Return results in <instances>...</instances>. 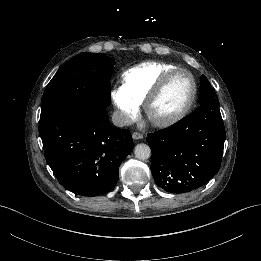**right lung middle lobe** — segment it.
<instances>
[{
    "label": "right lung middle lobe",
    "instance_id": "right-lung-middle-lobe-1",
    "mask_svg": "<svg viewBox=\"0 0 261 261\" xmlns=\"http://www.w3.org/2000/svg\"><path fill=\"white\" fill-rule=\"evenodd\" d=\"M113 64V59L101 54L80 53L71 58L47 85L41 101V116L87 105L108 107Z\"/></svg>",
    "mask_w": 261,
    "mask_h": 261
}]
</instances>
